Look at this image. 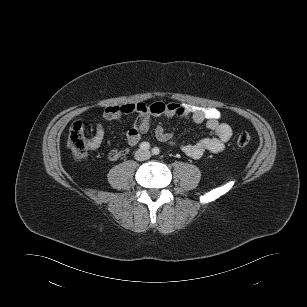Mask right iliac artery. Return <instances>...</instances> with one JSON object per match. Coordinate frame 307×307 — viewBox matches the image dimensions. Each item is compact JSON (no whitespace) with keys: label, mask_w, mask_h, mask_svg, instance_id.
I'll return each instance as SVG.
<instances>
[{"label":"right iliac artery","mask_w":307,"mask_h":307,"mask_svg":"<svg viewBox=\"0 0 307 307\" xmlns=\"http://www.w3.org/2000/svg\"><path fill=\"white\" fill-rule=\"evenodd\" d=\"M139 147L142 150H148L150 148V144L148 142H142Z\"/></svg>","instance_id":"82829eb1"}]
</instances>
